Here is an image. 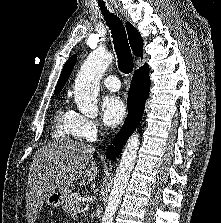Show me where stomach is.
Here are the masks:
<instances>
[{
	"mask_svg": "<svg viewBox=\"0 0 221 223\" xmlns=\"http://www.w3.org/2000/svg\"><path fill=\"white\" fill-rule=\"evenodd\" d=\"M70 196L71 193L67 186L56 189L45 199V204L51 207H60L68 200Z\"/></svg>",
	"mask_w": 221,
	"mask_h": 223,
	"instance_id": "stomach-1",
	"label": "stomach"
}]
</instances>
